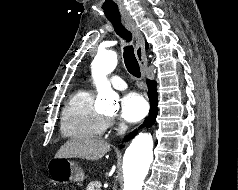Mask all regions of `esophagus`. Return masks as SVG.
I'll return each mask as SVG.
<instances>
[{
  "label": "esophagus",
  "mask_w": 238,
  "mask_h": 190,
  "mask_svg": "<svg viewBox=\"0 0 238 190\" xmlns=\"http://www.w3.org/2000/svg\"><path fill=\"white\" fill-rule=\"evenodd\" d=\"M123 23L132 32L135 38V55L139 63L141 72L143 76H145V72L147 69V57L145 52L144 37L132 19L124 18Z\"/></svg>",
  "instance_id": "obj_1"
}]
</instances>
